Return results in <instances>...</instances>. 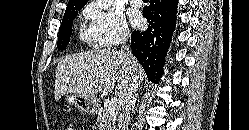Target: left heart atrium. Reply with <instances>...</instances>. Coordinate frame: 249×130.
Segmentation results:
<instances>
[{"label":"left heart atrium","instance_id":"1","mask_svg":"<svg viewBox=\"0 0 249 130\" xmlns=\"http://www.w3.org/2000/svg\"><path fill=\"white\" fill-rule=\"evenodd\" d=\"M140 22V19L139 18H136L135 19V23L138 24Z\"/></svg>","mask_w":249,"mask_h":130}]
</instances>
